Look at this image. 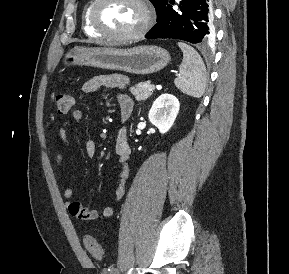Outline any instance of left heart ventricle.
Returning <instances> with one entry per match:
<instances>
[{
  "label": "left heart ventricle",
  "mask_w": 289,
  "mask_h": 274,
  "mask_svg": "<svg viewBox=\"0 0 289 274\" xmlns=\"http://www.w3.org/2000/svg\"><path fill=\"white\" fill-rule=\"evenodd\" d=\"M97 19L106 30L127 34L141 26L143 13L133 0H108L98 8Z\"/></svg>",
  "instance_id": "b2bd125f"
}]
</instances>
